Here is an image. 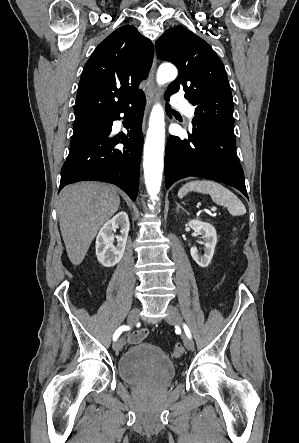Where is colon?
Masks as SVG:
<instances>
[{
    "label": "colon",
    "instance_id": "5ec220e1",
    "mask_svg": "<svg viewBox=\"0 0 299 443\" xmlns=\"http://www.w3.org/2000/svg\"><path fill=\"white\" fill-rule=\"evenodd\" d=\"M184 354V347L182 344L178 343L173 348V356L176 358L181 357Z\"/></svg>",
    "mask_w": 299,
    "mask_h": 443
}]
</instances>
